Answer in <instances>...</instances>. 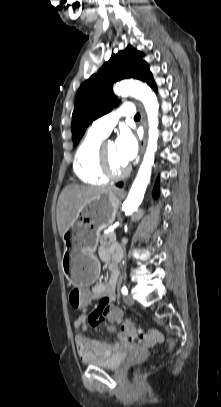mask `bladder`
Here are the masks:
<instances>
[{"label": "bladder", "instance_id": "obj_1", "mask_svg": "<svg viewBox=\"0 0 221 407\" xmlns=\"http://www.w3.org/2000/svg\"><path fill=\"white\" fill-rule=\"evenodd\" d=\"M126 356L123 353L115 351L112 355L103 358V359H96L87 361V365L93 367H99L109 370H117L119 369L123 363L125 362Z\"/></svg>", "mask_w": 221, "mask_h": 407}]
</instances>
